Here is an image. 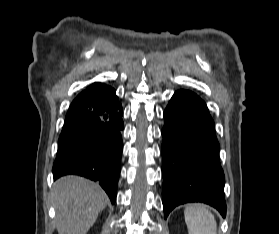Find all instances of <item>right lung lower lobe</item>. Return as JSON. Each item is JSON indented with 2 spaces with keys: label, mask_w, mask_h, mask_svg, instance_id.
Returning a JSON list of instances; mask_svg holds the SVG:
<instances>
[{
  "label": "right lung lower lobe",
  "mask_w": 279,
  "mask_h": 234,
  "mask_svg": "<svg viewBox=\"0 0 279 234\" xmlns=\"http://www.w3.org/2000/svg\"><path fill=\"white\" fill-rule=\"evenodd\" d=\"M122 106L115 90L94 83L71 103L58 141L53 176L75 174L98 181L112 203L121 170Z\"/></svg>",
  "instance_id": "1"
}]
</instances>
